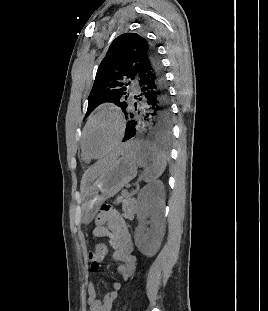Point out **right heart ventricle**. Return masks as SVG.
<instances>
[{"mask_svg":"<svg viewBox=\"0 0 268 311\" xmlns=\"http://www.w3.org/2000/svg\"><path fill=\"white\" fill-rule=\"evenodd\" d=\"M83 158H84L85 160H89L88 156H87L85 153H83Z\"/></svg>","mask_w":268,"mask_h":311,"instance_id":"right-heart-ventricle-1","label":"right heart ventricle"}]
</instances>
